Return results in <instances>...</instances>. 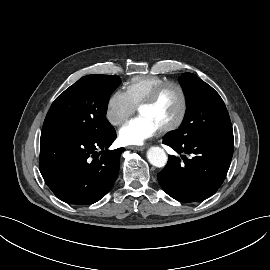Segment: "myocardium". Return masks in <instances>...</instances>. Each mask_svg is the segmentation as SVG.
<instances>
[{
    "label": "myocardium",
    "mask_w": 270,
    "mask_h": 270,
    "mask_svg": "<svg viewBox=\"0 0 270 270\" xmlns=\"http://www.w3.org/2000/svg\"><path fill=\"white\" fill-rule=\"evenodd\" d=\"M167 87H175L178 90L180 99H181V108H180V113L178 117L176 118V120L173 123L162 127L160 129L161 133H169V132L175 131L179 129L184 123L187 116V112H188V98H187V94L184 87L179 82H176V81H171V80L165 81L159 84L158 86H156L152 90V92L146 97V99L139 105V110L142 107L153 105L157 101L161 93Z\"/></svg>",
    "instance_id": "myocardium-1"
}]
</instances>
